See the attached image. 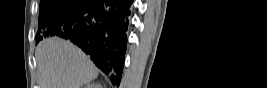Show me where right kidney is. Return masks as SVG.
I'll use <instances>...</instances> for the list:
<instances>
[{"label":"right kidney","instance_id":"right-kidney-1","mask_svg":"<svg viewBox=\"0 0 267 88\" xmlns=\"http://www.w3.org/2000/svg\"><path fill=\"white\" fill-rule=\"evenodd\" d=\"M84 88H102V86L100 85V83L92 82V83H87V85L84 86Z\"/></svg>","mask_w":267,"mask_h":88}]
</instances>
